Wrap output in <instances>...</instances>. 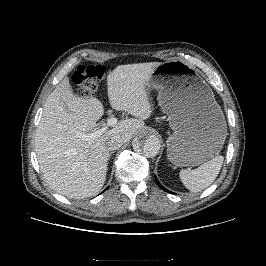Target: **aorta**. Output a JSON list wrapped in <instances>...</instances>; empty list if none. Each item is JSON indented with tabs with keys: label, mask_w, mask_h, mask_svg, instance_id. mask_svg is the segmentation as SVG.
<instances>
[{
	"label": "aorta",
	"mask_w": 266,
	"mask_h": 266,
	"mask_svg": "<svg viewBox=\"0 0 266 266\" xmlns=\"http://www.w3.org/2000/svg\"><path fill=\"white\" fill-rule=\"evenodd\" d=\"M160 147L159 138L150 131L142 132L134 142V148L140 149L143 155L148 158L155 157L159 153Z\"/></svg>",
	"instance_id": "obj_1"
}]
</instances>
